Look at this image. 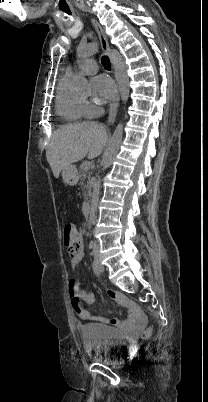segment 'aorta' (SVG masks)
<instances>
[{
  "instance_id": "aorta-1",
  "label": "aorta",
  "mask_w": 208,
  "mask_h": 402,
  "mask_svg": "<svg viewBox=\"0 0 208 402\" xmlns=\"http://www.w3.org/2000/svg\"><path fill=\"white\" fill-rule=\"evenodd\" d=\"M108 56L114 66V72H115V78L117 80V84L119 86V92L121 96V100L123 104H126L128 98H129V90H130V84H129V78L127 74V68L126 64L121 56L119 54L118 50H109ZM123 136V124H118L116 126V130L111 138L110 144H108V148L104 154V168H109L111 166L115 156H117V152L119 150V146L121 144ZM102 174V173H101ZM101 185L102 182L97 180L95 182L94 186V191H93V198L91 202V208H90V216H88L87 221L89 223V228L86 230V233L88 235H91L93 233L92 230V224L95 223L96 218V210L99 202V196H101L102 191H101Z\"/></svg>"
}]
</instances>
